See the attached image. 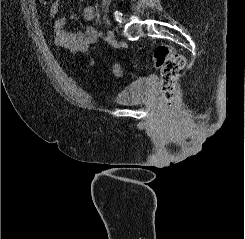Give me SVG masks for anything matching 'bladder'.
<instances>
[{"label": "bladder", "instance_id": "bladder-1", "mask_svg": "<svg viewBox=\"0 0 245 239\" xmlns=\"http://www.w3.org/2000/svg\"><path fill=\"white\" fill-rule=\"evenodd\" d=\"M154 86L155 83L149 78L135 80L119 91L116 102L121 105L140 103L151 95Z\"/></svg>", "mask_w": 245, "mask_h": 239}]
</instances>
